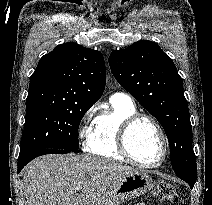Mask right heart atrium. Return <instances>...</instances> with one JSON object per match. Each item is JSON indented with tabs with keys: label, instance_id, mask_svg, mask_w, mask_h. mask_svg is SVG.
<instances>
[{
	"label": "right heart atrium",
	"instance_id": "d8ad5b80",
	"mask_svg": "<svg viewBox=\"0 0 212 205\" xmlns=\"http://www.w3.org/2000/svg\"><path fill=\"white\" fill-rule=\"evenodd\" d=\"M93 112L94 108H90L86 111L84 114L82 121L80 123L79 129H78V135L80 139H87L90 131H91V124L93 121Z\"/></svg>",
	"mask_w": 212,
	"mask_h": 205
}]
</instances>
